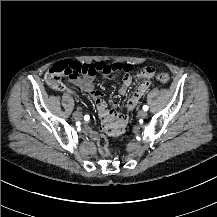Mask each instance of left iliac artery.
Instances as JSON below:
<instances>
[{
    "instance_id": "left-iliac-artery-1",
    "label": "left iliac artery",
    "mask_w": 217,
    "mask_h": 217,
    "mask_svg": "<svg viewBox=\"0 0 217 217\" xmlns=\"http://www.w3.org/2000/svg\"><path fill=\"white\" fill-rule=\"evenodd\" d=\"M148 108H149V107H148L147 105H144V106H143V110H144V111H147Z\"/></svg>"
}]
</instances>
